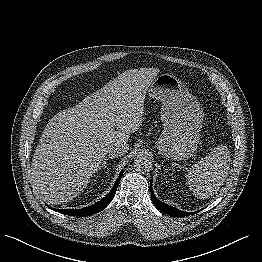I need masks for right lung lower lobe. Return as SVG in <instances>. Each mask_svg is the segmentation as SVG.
<instances>
[{
	"label": "right lung lower lobe",
	"mask_w": 262,
	"mask_h": 262,
	"mask_svg": "<svg viewBox=\"0 0 262 262\" xmlns=\"http://www.w3.org/2000/svg\"><path fill=\"white\" fill-rule=\"evenodd\" d=\"M123 171L119 174L113 188L111 191L106 195L103 199L98 201L97 203L82 208V209H53L56 212L69 215V216H79V217H86L92 214H96L100 212L102 209H104L114 198L117 187L119 185L120 179L122 177ZM52 209V208H51Z\"/></svg>",
	"instance_id": "obj_1"
}]
</instances>
